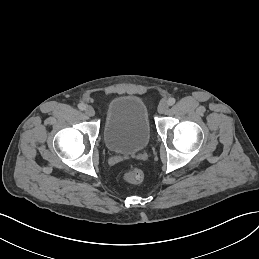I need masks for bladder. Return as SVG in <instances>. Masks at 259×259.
Segmentation results:
<instances>
[{
  "label": "bladder",
  "instance_id": "31cf9c89",
  "mask_svg": "<svg viewBox=\"0 0 259 259\" xmlns=\"http://www.w3.org/2000/svg\"><path fill=\"white\" fill-rule=\"evenodd\" d=\"M150 122L144 102L133 95L114 98L108 105L104 123L106 147L119 154H134L150 141Z\"/></svg>",
  "mask_w": 259,
  "mask_h": 259
}]
</instances>
